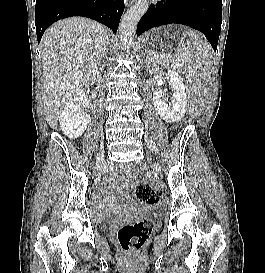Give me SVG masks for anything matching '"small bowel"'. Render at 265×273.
<instances>
[{"label":"small bowel","mask_w":265,"mask_h":273,"mask_svg":"<svg viewBox=\"0 0 265 273\" xmlns=\"http://www.w3.org/2000/svg\"><path fill=\"white\" fill-rule=\"evenodd\" d=\"M98 202H99V204H102V203H103V200H102L101 197H98Z\"/></svg>","instance_id":"obj_1"}]
</instances>
